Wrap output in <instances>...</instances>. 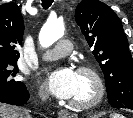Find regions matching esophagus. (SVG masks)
<instances>
[{"mask_svg": "<svg viewBox=\"0 0 133 118\" xmlns=\"http://www.w3.org/2000/svg\"><path fill=\"white\" fill-rule=\"evenodd\" d=\"M59 117L60 118H77V115L70 113L68 110L63 109L59 112Z\"/></svg>", "mask_w": 133, "mask_h": 118, "instance_id": "obj_1", "label": "esophagus"}]
</instances>
